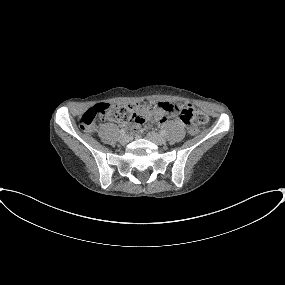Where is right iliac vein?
Segmentation results:
<instances>
[{
  "mask_svg": "<svg viewBox=\"0 0 285 285\" xmlns=\"http://www.w3.org/2000/svg\"><path fill=\"white\" fill-rule=\"evenodd\" d=\"M119 142L121 145H126L129 142V137L127 135H123L120 137Z\"/></svg>",
  "mask_w": 285,
  "mask_h": 285,
  "instance_id": "obj_1",
  "label": "right iliac vein"
}]
</instances>
